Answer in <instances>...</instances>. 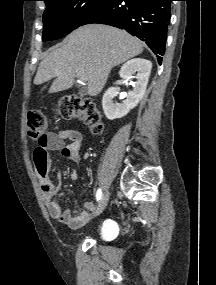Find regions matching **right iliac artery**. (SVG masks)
Instances as JSON below:
<instances>
[{"label":"right iliac artery","mask_w":216,"mask_h":285,"mask_svg":"<svg viewBox=\"0 0 216 285\" xmlns=\"http://www.w3.org/2000/svg\"><path fill=\"white\" fill-rule=\"evenodd\" d=\"M101 197H102V191H101V189H98V190H97V193H96V199H97V201H99V200L101 199Z\"/></svg>","instance_id":"1"}]
</instances>
